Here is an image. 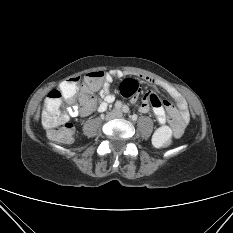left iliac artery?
Here are the masks:
<instances>
[{
	"label": "left iliac artery",
	"mask_w": 233,
	"mask_h": 233,
	"mask_svg": "<svg viewBox=\"0 0 233 233\" xmlns=\"http://www.w3.org/2000/svg\"><path fill=\"white\" fill-rule=\"evenodd\" d=\"M122 110H123L124 113H128L129 112V108L126 105L123 106Z\"/></svg>",
	"instance_id": "obj_1"
}]
</instances>
